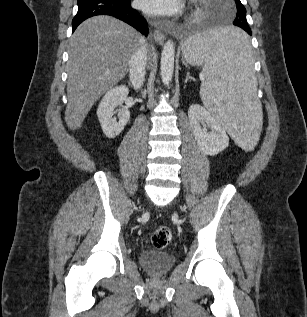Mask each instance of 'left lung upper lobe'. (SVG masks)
<instances>
[{"instance_id": "1", "label": "left lung upper lobe", "mask_w": 307, "mask_h": 317, "mask_svg": "<svg viewBox=\"0 0 307 317\" xmlns=\"http://www.w3.org/2000/svg\"><path fill=\"white\" fill-rule=\"evenodd\" d=\"M236 3V9H237V13H236V18L233 22L234 25L236 26H242L245 25L248 27V23L246 20V9L245 7L242 5L240 0H235Z\"/></svg>"}]
</instances>
